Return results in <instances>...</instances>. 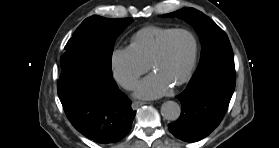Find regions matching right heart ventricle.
<instances>
[{"instance_id": "1", "label": "right heart ventricle", "mask_w": 279, "mask_h": 148, "mask_svg": "<svg viewBox=\"0 0 279 148\" xmlns=\"http://www.w3.org/2000/svg\"><path fill=\"white\" fill-rule=\"evenodd\" d=\"M174 29L162 27H146L133 37L131 47L140 58L149 65L163 38Z\"/></svg>"}]
</instances>
